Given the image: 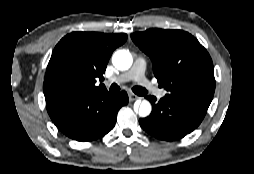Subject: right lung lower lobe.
Listing matches in <instances>:
<instances>
[{"mask_svg":"<svg viewBox=\"0 0 254 174\" xmlns=\"http://www.w3.org/2000/svg\"><path fill=\"white\" fill-rule=\"evenodd\" d=\"M128 103L125 91L75 92L47 103V112L66 136L88 142L107 134L115 126L119 109Z\"/></svg>","mask_w":254,"mask_h":174,"instance_id":"obj_1","label":"right lung lower lobe"}]
</instances>
